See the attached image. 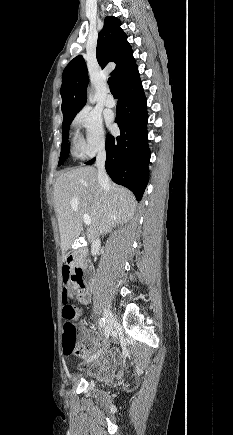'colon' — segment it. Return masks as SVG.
<instances>
[{
  "label": "colon",
  "mask_w": 233,
  "mask_h": 435,
  "mask_svg": "<svg viewBox=\"0 0 233 435\" xmlns=\"http://www.w3.org/2000/svg\"><path fill=\"white\" fill-rule=\"evenodd\" d=\"M77 276L69 267H65L63 270V283L65 285H75L78 283ZM78 311L73 306L69 298H64V308L62 311L63 326H62V350L68 355H81V348L78 346V331L75 323V318Z\"/></svg>",
  "instance_id": "obj_1"
}]
</instances>
